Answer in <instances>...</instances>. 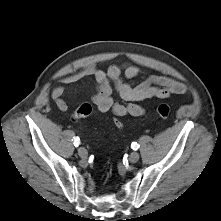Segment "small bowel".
Returning <instances> with one entry per match:
<instances>
[{
	"label": "small bowel",
	"mask_w": 221,
	"mask_h": 221,
	"mask_svg": "<svg viewBox=\"0 0 221 221\" xmlns=\"http://www.w3.org/2000/svg\"><path fill=\"white\" fill-rule=\"evenodd\" d=\"M139 73L140 69L129 63L114 64L107 70L89 65L64 76L62 81L66 84H73L85 78L93 77L95 81L93 103L98 111L102 113L111 112L116 117L142 116L145 114V108L140 105V102L151 99H167L172 95L187 92V88L182 82L170 77L150 76L137 85L125 82L121 78L123 74L126 80H133ZM113 89L127 102L126 104L114 101ZM66 90L65 86H58L53 88L51 92L55 105L62 112L68 110V104L63 98Z\"/></svg>",
	"instance_id": "c3829d8e"
}]
</instances>
